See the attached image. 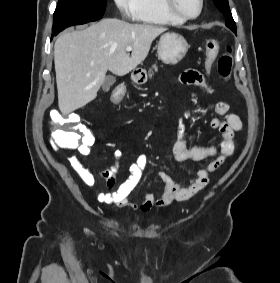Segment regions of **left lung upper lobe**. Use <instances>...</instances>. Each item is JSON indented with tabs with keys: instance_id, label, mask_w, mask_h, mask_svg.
I'll return each instance as SVG.
<instances>
[{
	"instance_id": "1",
	"label": "left lung upper lobe",
	"mask_w": 280,
	"mask_h": 283,
	"mask_svg": "<svg viewBox=\"0 0 280 283\" xmlns=\"http://www.w3.org/2000/svg\"><path fill=\"white\" fill-rule=\"evenodd\" d=\"M215 6L224 14L227 18L225 24L226 26L231 29L234 33H236V24L233 20L228 0H213Z\"/></svg>"
}]
</instances>
